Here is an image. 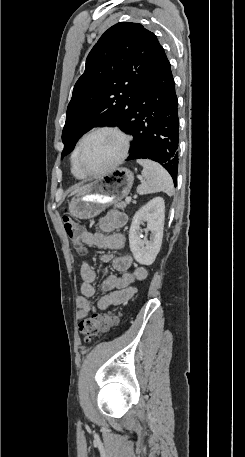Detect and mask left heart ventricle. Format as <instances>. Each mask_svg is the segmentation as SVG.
Instances as JSON below:
<instances>
[{
    "label": "left heart ventricle",
    "instance_id": "1",
    "mask_svg": "<svg viewBox=\"0 0 245 457\" xmlns=\"http://www.w3.org/2000/svg\"><path fill=\"white\" fill-rule=\"evenodd\" d=\"M121 139L111 132L92 135L81 153V162L89 171H97L112 163L120 153Z\"/></svg>",
    "mask_w": 245,
    "mask_h": 457
}]
</instances>
